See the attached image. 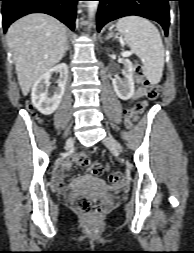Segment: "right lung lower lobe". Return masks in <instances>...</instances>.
<instances>
[{"label":"right lung lower lobe","mask_w":194,"mask_h":253,"mask_svg":"<svg viewBox=\"0 0 194 253\" xmlns=\"http://www.w3.org/2000/svg\"><path fill=\"white\" fill-rule=\"evenodd\" d=\"M3 1V29L29 13H46L66 24L71 30L75 28L76 3L79 0H0Z\"/></svg>","instance_id":"1"}]
</instances>
